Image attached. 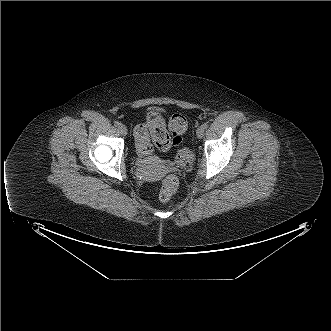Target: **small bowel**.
Segmentation results:
<instances>
[{"instance_id": "1", "label": "small bowel", "mask_w": 331, "mask_h": 331, "mask_svg": "<svg viewBox=\"0 0 331 331\" xmlns=\"http://www.w3.org/2000/svg\"><path fill=\"white\" fill-rule=\"evenodd\" d=\"M147 136L149 138V135H148V131H147ZM135 138H136V141H137V150H138V153L141 155V156H148L151 154L152 152V147L150 145V143H148V145L145 147V148H142L140 145V138L139 136L136 134L135 132Z\"/></svg>"}]
</instances>
